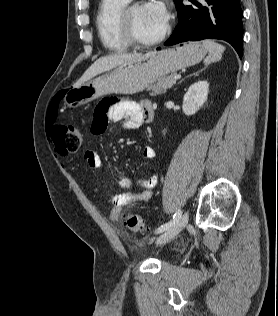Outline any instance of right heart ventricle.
<instances>
[{
	"label": "right heart ventricle",
	"instance_id": "1",
	"mask_svg": "<svg viewBox=\"0 0 278 316\" xmlns=\"http://www.w3.org/2000/svg\"><path fill=\"white\" fill-rule=\"evenodd\" d=\"M131 0H101L97 15L96 27L102 45L111 52L126 51L130 44L122 30V13Z\"/></svg>",
	"mask_w": 278,
	"mask_h": 316
}]
</instances>
